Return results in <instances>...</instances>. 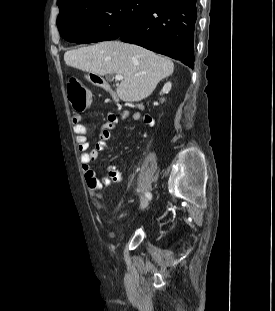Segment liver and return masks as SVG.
Here are the masks:
<instances>
[{
  "label": "liver",
  "instance_id": "obj_1",
  "mask_svg": "<svg viewBox=\"0 0 275 311\" xmlns=\"http://www.w3.org/2000/svg\"><path fill=\"white\" fill-rule=\"evenodd\" d=\"M64 61L68 66L96 75H122L124 78L117 87V95L125 102L147 98L159 81L174 70L170 59L119 41H105L67 51Z\"/></svg>",
  "mask_w": 275,
  "mask_h": 311
}]
</instances>
